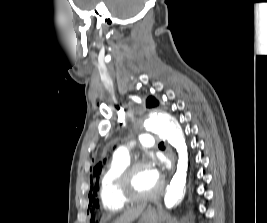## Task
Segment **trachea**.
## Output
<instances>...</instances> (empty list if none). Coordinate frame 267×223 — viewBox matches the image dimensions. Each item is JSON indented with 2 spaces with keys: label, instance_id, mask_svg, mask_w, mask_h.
Here are the masks:
<instances>
[{
  "label": "trachea",
  "instance_id": "1",
  "mask_svg": "<svg viewBox=\"0 0 267 223\" xmlns=\"http://www.w3.org/2000/svg\"><path fill=\"white\" fill-rule=\"evenodd\" d=\"M159 147H164V143L163 142H160L159 143Z\"/></svg>",
  "mask_w": 267,
  "mask_h": 223
}]
</instances>
